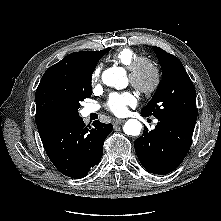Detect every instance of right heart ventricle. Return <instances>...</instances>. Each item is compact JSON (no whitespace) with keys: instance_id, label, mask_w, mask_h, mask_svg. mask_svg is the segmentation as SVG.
<instances>
[{"instance_id":"obj_1","label":"right heart ventricle","mask_w":221,"mask_h":221,"mask_svg":"<svg viewBox=\"0 0 221 221\" xmlns=\"http://www.w3.org/2000/svg\"><path fill=\"white\" fill-rule=\"evenodd\" d=\"M137 57H139V54L135 50L128 48V47L120 48L113 55L114 61L120 63L126 68H129L132 62Z\"/></svg>"}]
</instances>
